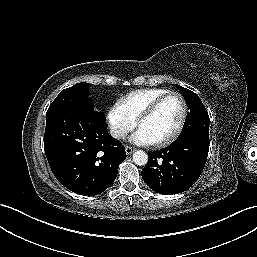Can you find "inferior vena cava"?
Wrapping results in <instances>:
<instances>
[{
	"label": "inferior vena cava",
	"instance_id": "602c4592",
	"mask_svg": "<svg viewBox=\"0 0 257 257\" xmlns=\"http://www.w3.org/2000/svg\"><path fill=\"white\" fill-rule=\"evenodd\" d=\"M110 135L114 138L124 139L127 136V132L125 130H122V129L111 128Z\"/></svg>",
	"mask_w": 257,
	"mask_h": 257
}]
</instances>
